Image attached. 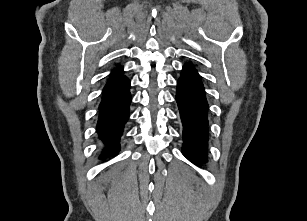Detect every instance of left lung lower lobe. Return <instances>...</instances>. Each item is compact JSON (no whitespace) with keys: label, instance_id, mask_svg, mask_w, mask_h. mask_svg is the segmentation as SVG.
I'll list each match as a JSON object with an SVG mask.
<instances>
[{"label":"left lung lower lobe","instance_id":"0a47b994","mask_svg":"<svg viewBox=\"0 0 307 221\" xmlns=\"http://www.w3.org/2000/svg\"><path fill=\"white\" fill-rule=\"evenodd\" d=\"M176 101L183 123L182 153L192 162L206 161L208 103L200 76L191 64L183 66Z\"/></svg>","mask_w":307,"mask_h":221}]
</instances>
